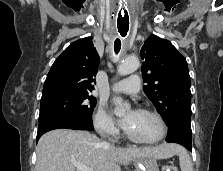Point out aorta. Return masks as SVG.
Here are the masks:
<instances>
[{
  "mask_svg": "<svg viewBox=\"0 0 223 171\" xmlns=\"http://www.w3.org/2000/svg\"><path fill=\"white\" fill-rule=\"evenodd\" d=\"M140 66V62L136 57H128L120 62L117 67V73L121 76L129 75L135 72ZM114 103L118 106L116 114L122 116L126 110L130 109L129 103H124L120 97L114 98Z\"/></svg>",
  "mask_w": 223,
  "mask_h": 171,
  "instance_id": "aorta-1",
  "label": "aorta"
}]
</instances>
